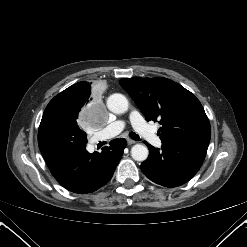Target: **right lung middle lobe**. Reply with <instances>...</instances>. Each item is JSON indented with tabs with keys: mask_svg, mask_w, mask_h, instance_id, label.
I'll return each instance as SVG.
<instances>
[{
	"mask_svg": "<svg viewBox=\"0 0 247 247\" xmlns=\"http://www.w3.org/2000/svg\"><path fill=\"white\" fill-rule=\"evenodd\" d=\"M90 99H92L91 96L82 99L71 92L62 91L49 102L43 115L57 116L71 122H77L80 108Z\"/></svg>",
	"mask_w": 247,
	"mask_h": 247,
	"instance_id": "1",
	"label": "right lung middle lobe"
}]
</instances>
